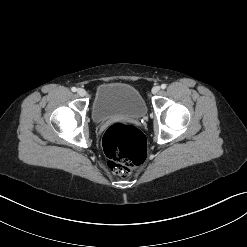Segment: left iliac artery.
Instances as JSON below:
<instances>
[{
	"label": "left iliac artery",
	"mask_w": 247,
	"mask_h": 247,
	"mask_svg": "<svg viewBox=\"0 0 247 247\" xmlns=\"http://www.w3.org/2000/svg\"><path fill=\"white\" fill-rule=\"evenodd\" d=\"M161 88H162V89H165V88H166V84H162V85H161Z\"/></svg>",
	"instance_id": "obj_1"
}]
</instances>
